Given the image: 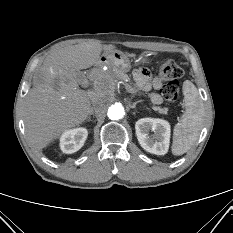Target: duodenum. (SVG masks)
<instances>
[{"mask_svg": "<svg viewBox=\"0 0 233 233\" xmlns=\"http://www.w3.org/2000/svg\"><path fill=\"white\" fill-rule=\"evenodd\" d=\"M103 64V61L102 60H98L97 62H96V65L97 66H100V65H102Z\"/></svg>", "mask_w": 233, "mask_h": 233, "instance_id": "duodenum-1", "label": "duodenum"}]
</instances>
